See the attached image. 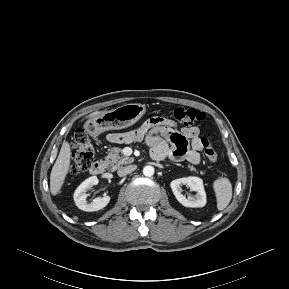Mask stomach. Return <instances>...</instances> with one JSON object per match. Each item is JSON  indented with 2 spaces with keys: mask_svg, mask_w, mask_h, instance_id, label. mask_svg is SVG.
Returning <instances> with one entry per match:
<instances>
[{
  "mask_svg": "<svg viewBox=\"0 0 289 289\" xmlns=\"http://www.w3.org/2000/svg\"><path fill=\"white\" fill-rule=\"evenodd\" d=\"M145 112L144 104H125L90 118L85 123V129L91 136H97L107 130L127 128L135 124Z\"/></svg>",
  "mask_w": 289,
  "mask_h": 289,
  "instance_id": "1",
  "label": "stomach"
}]
</instances>
